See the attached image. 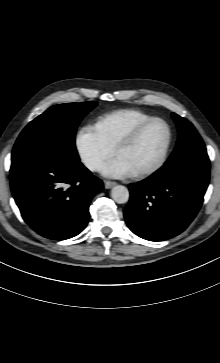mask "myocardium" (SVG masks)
Returning a JSON list of instances; mask_svg holds the SVG:
<instances>
[{
    "instance_id": "1",
    "label": "myocardium",
    "mask_w": 220,
    "mask_h": 363,
    "mask_svg": "<svg viewBox=\"0 0 220 363\" xmlns=\"http://www.w3.org/2000/svg\"><path fill=\"white\" fill-rule=\"evenodd\" d=\"M154 123H161L165 126L166 131H167L166 144L164 146V149H163L159 159L157 160V162L154 165H152L149 168L134 172L133 175L138 178L147 177V176H150V175L156 173L164 166L165 162L167 161V158H168V155H169V152L171 149L172 141H173V132H172V128H171L170 124L163 118L152 117V118L138 124L133 129H131L128 133H126L124 136H122L117 141V143L115 144L114 149H113L114 154L117 155V153L121 149L132 144L140 136V134L143 132L144 129H146L148 126H150Z\"/></svg>"
}]
</instances>
